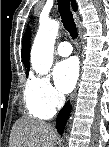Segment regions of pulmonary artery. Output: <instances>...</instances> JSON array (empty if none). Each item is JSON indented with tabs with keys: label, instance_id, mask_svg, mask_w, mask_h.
<instances>
[{
	"label": "pulmonary artery",
	"instance_id": "pulmonary-artery-1",
	"mask_svg": "<svg viewBox=\"0 0 109 147\" xmlns=\"http://www.w3.org/2000/svg\"><path fill=\"white\" fill-rule=\"evenodd\" d=\"M73 51L72 45L67 42H61L57 47H56V54H58L61 57H66L69 56Z\"/></svg>",
	"mask_w": 109,
	"mask_h": 147
}]
</instances>
